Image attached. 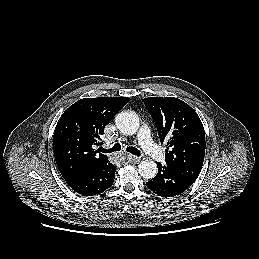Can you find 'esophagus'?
<instances>
[{
    "mask_svg": "<svg viewBox=\"0 0 259 259\" xmlns=\"http://www.w3.org/2000/svg\"><path fill=\"white\" fill-rule=\"evenodd\" d=\"M127 160L130 163H138L140 161V158L129 154L127 155Z\"/></svg>",
    "mask_w": 259,
    "mask_h": 259,
    "instance_id": "obj_1",
    "label": "esophagus"
}]
</instances>
